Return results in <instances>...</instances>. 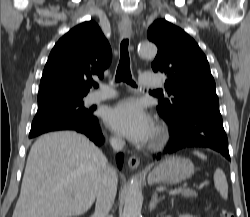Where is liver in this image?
<instances>
[{
    "mask_svg": "<svg viewBox=\"0 0 250 217\" xmlns=\"http://www.w3.org/2000/svg\"><path fill=\"white\" fill-rule=\"evenodd\" d=\"M109 167L85 136L59 131L40 136L28 155L12 217H72L86 213Z\"/></svg>",
    "mask_w": 250,
    "mask_h": 217,
    "instance_id": "liver-1",
    "label": "liver"
}]
</instances>
